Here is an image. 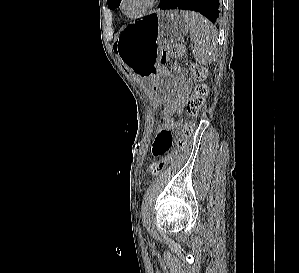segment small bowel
<instances>
[{"label":"small bowel","mask_w":299,"mask_h":273,"mask_svg":"<svg viewBox=\"0 0 299 273\" xmlns=\"http://www.w3.org/2000/svg\"><path fill=\"white\" fill-rule=\"evenodd\" d=\"M178 130L179 124L176 122H172L162 127L158 131L152 147L154 156H162L172 148L174 137Z\"/></svg>","instance_id":"small-bowel-1"}]
</instances>
